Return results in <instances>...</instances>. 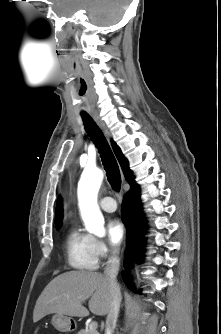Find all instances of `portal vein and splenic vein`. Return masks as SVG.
Returning <instances> with one entry per match:
<instances>
[{
	"label": "portal vein and splenic vein",
	"instance_id": "obj_1",
	"mask_svg": "<svg viewBox=\"0 0 221 334\" xmlns=\"http://www.w3.org/2000/svg\"><path fill=\"white\" fill-rule=\"evenodd\" d=\"M97 326H98V323L97 322H91L90 325H89V330L90 331H96L97 329Z\"/></svg>",
	"mask_w": 221,
	"mask_h": 334
}]
</instances>
